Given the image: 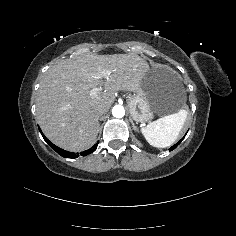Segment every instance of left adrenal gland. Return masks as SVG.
<instances>
[{
  "mask_svg": "<svg viewBox=\"0 0 236 236\" xmlns=\"http://www.w3.org/2000/svg\"><path fill=\"white\" fill-rule=\"evenodd\" d=\"M130 121H131V124H132V129L133 130L138 129V127L134 124L133 120L130 119Z\"/></svg>",
  "mask_w": 236,
  "mask_h": 236,
  "instance_id": "a2214340",
  "label": "left adrenal gland"
}]
</instances>
